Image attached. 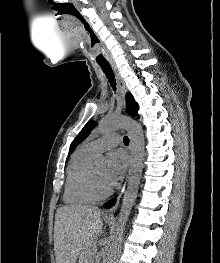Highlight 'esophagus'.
<instances>
[{"instance_id": "1", "label": "esophagus", "mask_w": 220, "mask_h": 263, "mask_svg": "<svg viewBox=\"0 0 220 263\" xmlns=\"http://www.w3.org/2000/svg\"><path fill=\"white\" fill-rule=\"evenodd\" d=\"M113 68H114V71H115V73H116V78H117L118 85H119V88H120V93H121L122 101H123V103L125 104V95H126V92H127V88H126V85H125L122 77L120 76L118 70L116 69V67H113ZM126 184H127V181H126V183L124 184V186H123L122 190L120 191V193L118 194L117 200H116L115 204H114L111 208L105 210L104 215H105L106 217H113V216H114V214H115V212H116V210H117V208H118V205H119L121 196H122V194H123L124 191H125Z\"/></svg>"}]
</instances>
